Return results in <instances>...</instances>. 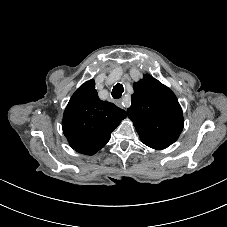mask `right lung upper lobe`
Returning a JSON list of instances; mask_svg holds the SVG:
<instances>
[{
    "label": "right lung upper lobe",
    "mask_w": 227,
    "mask_h": 227,
    "mask_svg": "<svg viewBox=\"0 0 227 227\" xmlns=\"http://www.w3.org/2000/svg\"><path fill=\"white\" fill-rule=\"evenodd\" d=\"M125 117L124 110L99 99L91 79L72 95L64 111L62 129L73 149L93 155L107 144L111 132Z\"/></svg>",
    "instance_id": "cb5924a9"
}]
</instances>
